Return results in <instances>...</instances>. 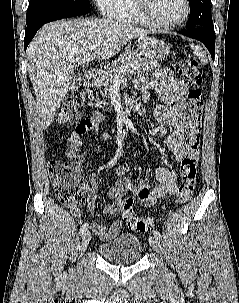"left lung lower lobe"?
I'll list each match as a JSON object with an SVG mask.
<instances>
[{
  "label": "left lung lower lobe",
  "instance_id": "0a47b994",
  "mask_svg": "<svg viewBox=\"0 0 239 303\" xmlns=\"http://www.w3.org/2000/svg\"><path fill=\"white\" fill-rule=\"evenodd\" d=\"M179 34L201 41L208 49L214 60L215 54V31L214 27H195L188 30L178 31Z\"/></svg>",
  "mask_w": 239,
  "mask_h": 303
}]
</instances>
